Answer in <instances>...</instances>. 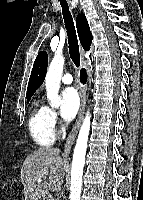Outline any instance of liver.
Returning <instances> with one entry per match:
<instances>
[{
    "mask_svg": "<svg viewBox=\"0 0 143 200\" xmlns=\"http://www.w3.org/2000/svg\"><path fill=\"white\" fill-rule=\"evenodd\" d=\"M60 152L53 147L39 148L26 157L20 173L25 200H43L49 190H61L65 162ZM44 170H48L46 175Z\"/></svg>",
    "mask_w": 143,
    "mask_h": 200,
    "instance_id": "1",
    "label": "liver"
}]
</instances>
